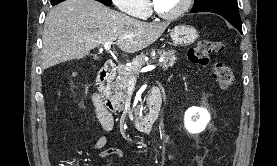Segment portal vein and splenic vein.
Instances as JSON below:
<instances>
[{
  "instance_id": "portal-vein-and-splenic-vein-1",
  "label": "portal vein and splenic vein",
  "mask_w": 277,
  "mask_h": 166,
  "mask_svg": "<svg viewBox=\"0 0 277 166\" xmlns=\"http://www.w3.org/2000/svg\"><path fill=\"white\" fill-rule=\"evenodd\" d=\"M111 44H112L111 41L106 42V43L104 44V48H105L106 51H110ZM155 68H156L155 65H149V66L145 67L144 69H142L141 72L150 71V70H153V69H155Z\"/></svg>"
}]
</instances>
